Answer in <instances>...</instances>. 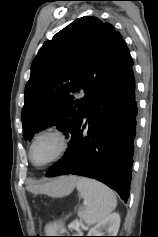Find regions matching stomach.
<instances>
[{
  "instance_id": "0dacf381",
  "label": "stomach",
  "mask_w": 158,
  "mask_h": 237,
  "mask_svg": "<svg viewBox=\"0 0 158 237\" xmlns=\"http://www.w3.org/2000/svg\"><path fill=\"white\" fill-rule=\"evenodd\" d=\"M72 187L73 186L71 185V186H67V187L62 188L54 196L55 197H63V196L68 195L71 192Z\"/></svg>"
}]
</instances>
